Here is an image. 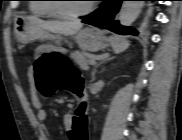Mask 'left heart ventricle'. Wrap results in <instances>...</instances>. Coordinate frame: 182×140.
Instances as JSON below:
<instances>
[{
    "mask_svg": "<svg viewBox=\"0 0 182 140\" xmlns=\"http://www.w3.org/2000/svg\"><path fill=\"white\" fill-rule=\"evenodd\" d=\"M86 1L68 0L63 5L64 9L68 12H77L87 6Z\"/></svg>",
    "mask_w": 182,
    "mask_h": 140,
    "instance_id": "left-heart-ventricle-1",
    "label": "left heart ventricle"
}]
</instances>
